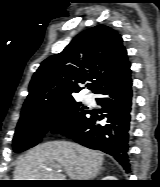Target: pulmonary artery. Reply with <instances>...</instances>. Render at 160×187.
<instances>
[{
    "label": "pulmonary artery",
    "mask_w": 160,
    "mask_h": 187,
    "mask_svg": "<svg viewBox=\"0 0 160 187\" xmlns=\"http://www.w3.org/2000/svg\"><path fill=\"white\" fill-rule=\"evenodd\" d=\"M85 100H86L87 102H90V101H91L89 96H86V97H85Z\"/></svg>",
    "instance_id": "1"
}]
</instances>
